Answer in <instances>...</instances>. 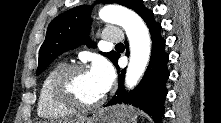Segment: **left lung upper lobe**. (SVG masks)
I'll list each match as a JSON object with an SVG mask.
<instances>
[{"label":"left lung upper lobe","mask_w":221,"mask_h":123,"mask_svg":"<svg viewBox=\"0 0 221 123\" xmlns=\"http://www.w3.org/2000/svg\"><path fill=\"white\" fill-rule=\"evenodd\" d=\"M98 2L106 4L117 3L134 10L136 13L144 7L142 0H98ZM91 10L92 7L88 5L77 6L52 20L47 29L45 41L40 49L36 75L42 73L55 58L65 51L78 47L82 43L95 47V44L91 45L90 41H88L91 26ZM100 53L112 62L115 61L118 55L115 51Z\"/></svg>","instance_id":"5c2ea615"}]
</instances>
